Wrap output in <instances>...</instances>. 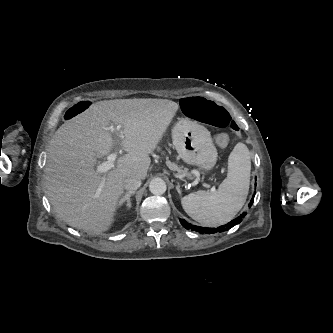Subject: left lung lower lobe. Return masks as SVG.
I'll return each mask as SVG.
<instances>
[{
    "label": "left lung lower lobe",
    "mask_w": 333,
    "mask_h": 333,
    "mask_svg": "<svg viewBox=\"0 0 333 333\" xmlns=\"http://www.w3.org/2000/svg\"><path fill=\"white\" fill-rule=\"evenodd\" d=\"M253 201H254V198L251 199V201L249 203V207L252 206ZM245 215H246V213L243 212L237 218L233 219L232 221H230L226 225L220 226L218 228H206V227L195 226V225L190 224L189 222H187L184 219H180V223L182 224V226L184 228H186L188 230L196 231V232H199V233L212 234V233H216V232H224V231L229 230L230 228H232L235 225L239 224L242 221V219L244 218Z\"/></svg>",
    "instance_id": "0a47b994"
}]
</instances>
